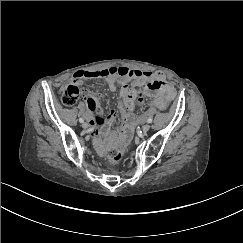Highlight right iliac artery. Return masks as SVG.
Instances as JSON below:
<instances>
[{
	"label": "right iliac artery",
	"mask_w": 243,
	"mask_h": 243,
	"mask_svg": "<svg viewBox=\"0 0 243 243\" xmlns=\"http://www.w3.org/2000/svg\"><path fill=\"white\" fill-rule=\"evenodd\" d=\"M79 122H80V123H83V122H84V119H83V118H80V119H79Z\"/></svg>",
	"instance_id": "right-iliac-artery-1"
}]
</instances>
